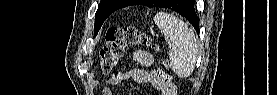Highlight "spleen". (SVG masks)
Here are the masks:
<instances>
[{
  "mask_svg": "<svg viewBox=\"0 0 277 95\" xmlns=\"http://www.w3.org/2000/svg\"><path fill=\"white\" fill-rule=\"evenodd\" d=\"M154 22L171 48L169 59L173 72L181 78L190 76L198 50L193 31L182 20L166 12L157 13Z\"/></svg>",
  "mask_w": 277,
  "mask_h": 95,
  "instance_id": "obj_1",
  "label": "spleen"
}]
</instances>
